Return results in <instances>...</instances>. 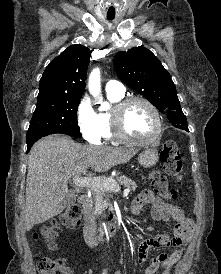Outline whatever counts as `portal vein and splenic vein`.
Wrapping results in <instances>:
<instances>
[{
  "label": "portal vein and splenic vein",
  "instance_id": "portal-vein-and-splenic-vein-1",
  "mask_svg": "<svg viewBox=\"0 0 221 274\" xmlns=\"http://www.w3.org/2000/svg\"><path fill=\"white\" fill-rule=\"evenodd\" d=\"M73 183L78 187L83 188H100L104 187L106 189L112 190L114 192H119L120 187L116 185L110 178H92V177H79V175L74 176ZM130 190L125 189L123 194L127 196Z\"/></svg>",
  "mask_w": 221,
  "mask_h": 274
}]
</instances>
